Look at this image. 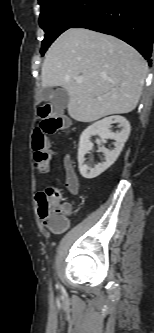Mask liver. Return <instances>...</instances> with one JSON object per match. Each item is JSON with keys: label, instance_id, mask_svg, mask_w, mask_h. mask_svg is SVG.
<instances>
[{"label": "liver", "instance_id": "liver-1", "mask_svg": "<svg viewBox=\"0 0 154 333\" xmlns=\"http://www.w3.org/2000/svg\"><path fill=\"white\" fill-rule=\"evenodd\" d=\"M147 71L145 59L124 41L85 28H70L48 49L41 81L42 87L60 86L68 92L71 118L93 122L133 111ZM77 78L82 83H77Z\"/></svg>", "mask_w": 154, "mask_h": 333}]
</instances>
